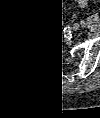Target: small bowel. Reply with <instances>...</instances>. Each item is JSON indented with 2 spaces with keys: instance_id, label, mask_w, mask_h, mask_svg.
I'll return each instance as SVG.
<instances>
[{
  "instance_id": "c3829d8e",
  "label": "small bowel",
  "mask_w": 100,
  "mask_h": 118,
  "mask_svg": "<svg viewBox=\"0 0 100 118\" xmlns=\"http://www.w3.org/2000/svg\"><path fill=\"white\" fill-rule=\"evenodd\" d=\"M79 8H86L89 0H75Z\"/></svg>"
}]
</instances>
